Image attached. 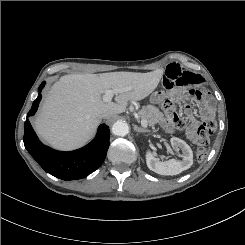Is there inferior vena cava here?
Instances as JSON below:
<instances>
[{
    "label": "inferior vena cava",
    "mask_w": 245,
    "mask_h": 245,
    "mask_svg": "<svg viewBox=\"0 0 245 245\" xmlns=\"http://www.w3.org/2000/svg\"><path fill=\"white\" fill-rule=\"evenodd\" d=\"M109 117V114H102L101 115V118H108Z\"/></svg>",
    "instance_id": "602c4592"
}]
</instances>
